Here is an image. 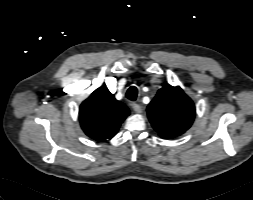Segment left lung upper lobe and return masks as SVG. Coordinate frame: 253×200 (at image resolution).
Wrapping results in <instances>:
<instances>
[{
	"mask_svg": "<svg viewBox=\"0 0 253 200\" xmlns=\"http://www.w3.org/2000/svg\"><path fill=\"white\" fill-rule=\"evenodd\" d=\"M148 118L162 138L183 134L193 123L195 106L180 87L161 88L147 107Z\"/></svg>",
	"mask_w": 253,
	"mask_h": 200,
	"instance_id": "5c2ea615",
	"label": "left lung upper lobe"
}]
</instances>
